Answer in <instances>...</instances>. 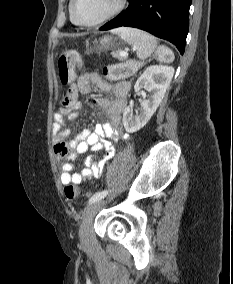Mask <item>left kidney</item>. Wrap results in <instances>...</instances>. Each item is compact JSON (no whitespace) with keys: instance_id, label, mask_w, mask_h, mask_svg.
I'll return each mask as SVG.
<instances>
[{"instance_id":"5707ae66","label":"left kidney","mask_w":233,"mask_h":284,"mask_svg":"<svg viewBox=\"0 0 233 284\" xmlns=\"http://www.w3.org/2000/svg\"><path fill=\"white\" fill-rule=\"evenodd\" d=\"M174 74V68L165 65L149 66L135 83L134 90L139 93L145 89L150 93L147 99L140 100L141 107L136 115H132L130 107L123 113V125L128 133L144 127L160 105Z\"/></svg>"}]
</instances>
